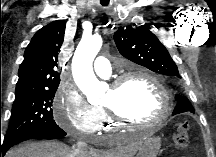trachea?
Masks as SVG:
<instances>
[{"mask_svg":"<svg viewBox=\"0 0 216 157\" xmlns=\"http://www.w3.org/2000/svg\"><path fill=\"white\" fill-rule=\"evenodd\" d=\"M101 5L106 6L108 3L101 2Z\"/></svg>","mask_w":216,"mask_h":157,"instance_id":"obj_1","label":"trachea"}]
</instances>
